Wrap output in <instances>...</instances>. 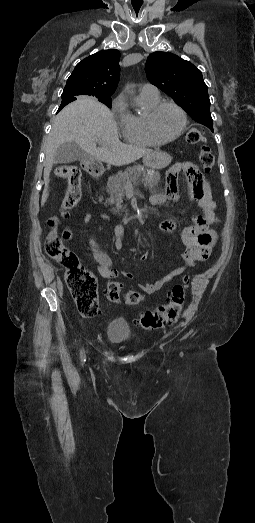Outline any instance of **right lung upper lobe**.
Masks as SVG:
<instances>
[{
  "mask_svg": "<svg viewBox=\"0 0 255 523\" xmlns=\"http://www.w3.org/2000/svg\"><path fill=\"white\" fill-rule=\"evenodd\" d=\"M120 52L102 50L79 62L67 80L58 112L80 98H105L115 92L120 79Z\"/></svg>",
  "mask_w": 255,
  "mask_h": 523,
  "instance_id": "right-lung-upper-lobe-1",
  "label": "right lung upper lobe"
}]
</instances>
